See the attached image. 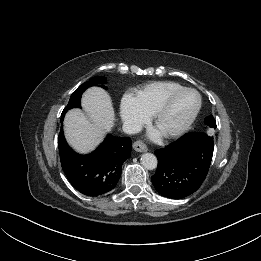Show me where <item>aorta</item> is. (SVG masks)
Listing matches in <instances>:
<instances>
[{
    "instance_id": "obj_1",
    "label": "aorta",
    "mask_w": 261,
    "mask_h": 261,
    "mask_svg": "<svg viewBox=\"0 0 261 261\" xmlns=\"http://www.w3.org/2000/svg\"><path fill=\"white\" fill-rule=\"evenodd\" d=\"M141 164L148 170H153L157 167V158L152 153H144L141 156Z\"/></svg>"
}]
</instances>
